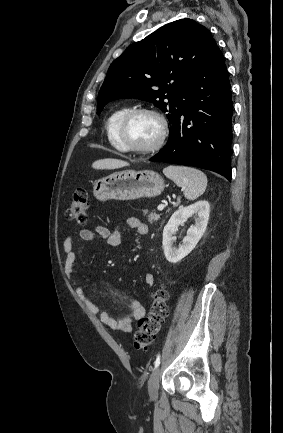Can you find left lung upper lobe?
Masks as SVG:
<instances>
[{"label": "left lung upper lobe", "mask_w": 283, "mask_h": 433, "mask_svg": "<svg viewBox=\"0 0 283 433\" xmlns=\"http://www.w3.org/2000/svg\"><path fill=\"white\" fill-rule=\"evenodd\" d=\"M215 45L207 28L188 18L131 44L109 67L97 114L112 100L137 98L169 112L171 124L187 108L188 87Z\"/></svg>", "instance_id": "left-lung-upper-lobe-1"}]
</instances>
